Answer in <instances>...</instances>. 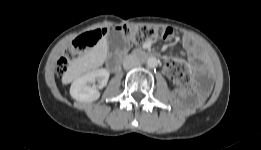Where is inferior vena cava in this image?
Listing matches in <instances>:
<instances>
[{
	"label": "inferior vena cava",
	"instance_id": "inferior-vena-cava-1",
	"mask_svg": "<svg viewBox=\"0 0 261 150\" xmlns=\"http://www.w3.org/2000/svg\"><path fill=\"white\" fill-rule=\"evenodd\" d=\"M139 65H140L139 59L133 54L127 55L123 60L124 69H131Z\"/></svg>",
	"mask_w": 261,
	"mask_h": 150
}]
</instances>
